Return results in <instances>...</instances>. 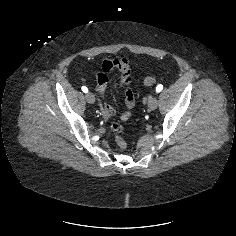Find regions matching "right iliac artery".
Listing matches in <instances>:
<instances>
[{
  "mask_svg": "<svg viewBox=\"0 0 236 236\" xmlns=\"http://www.w3.org/2000/svg\"><path fill=\"white\" fill-rule=\"evenodd\" d=\"M82 91L84 92V93H87L88 92V88L86 87V86H82Z\"/></svg>",
  "mask_w": 236,
  "mask_h": 236,
  "instance_id": "82829eb1",
  "label": "right iliac artery"
}]
</instances>
